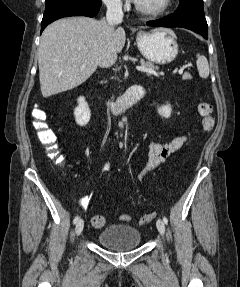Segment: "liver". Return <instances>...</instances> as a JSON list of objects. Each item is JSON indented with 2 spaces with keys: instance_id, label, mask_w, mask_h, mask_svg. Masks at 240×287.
Listing matches in <instances>:
<instances>
[{
  "instance_id": "1",
  "label": "liver",
  "mask_w": 240,
  "mask_h": 287,
  "mask_svg": "<svg viewBox=\"0 0 240 287\" xmlns=\"http://www.w3.org/2000/svg\"><path fill=\"white\" fill-rule=\"evenodd\" d=\"M125 41L124 29H114L105 19L69 17L51 23L42 33L38 48L43 97L71 90L85 82L98 66L115 63Z\"/></svg>"
}]
</instances>
